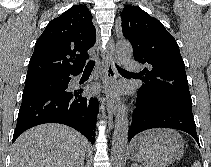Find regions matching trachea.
I'll list each match as a JSON object with an SVG mask.
<instances>
[{
	"label": "trachea",
	"mask_w": 211,
	"mask_h": 167,
	"mask_svg": "<svg viewBox=\"0 0 211 167\" xmlns=\"http://www.w3.org/2000/svg\"><path fill=\"white\" fill-rule=\"evenodd\" d=\"M94 65H95V61L90 60V61L87 63V65H86V68H85V69H92V68L94 67ZM116 67H117V69H118L119 71H124V72H127L126 70L122 69V68H121V67H119L118 65H116Z\"/></svg>",
	"instance_id": "1"
}]
</instances>
